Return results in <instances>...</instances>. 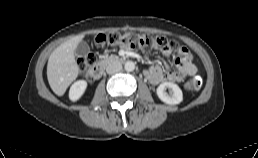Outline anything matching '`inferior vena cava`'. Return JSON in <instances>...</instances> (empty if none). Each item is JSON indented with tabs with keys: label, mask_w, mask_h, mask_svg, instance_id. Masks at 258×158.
<instances>
[{
	"label": "inferior vena cava",
	"mask_w": 258,
	"mask_h": 158,
	"mask_svg": "<svg viewBox=\"0 0 258 158\" xmlns=\"http://www.w3.org/2000/svg\"><path fill=\"white\" fill-rule=\"evenodd\" d=\"M121 69H122L121 63L116 61V62L110 63V64L107 66L106 72H107L108 74H114V73H116V72L121 71Z\"/></svg>",
	"instance_id": "602c4592"
}]
</instances>
